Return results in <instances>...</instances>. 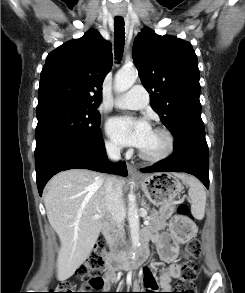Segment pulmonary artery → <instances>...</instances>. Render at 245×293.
<instances>
[{
  "label": "pulmonary artery",
  "instance_id": "pulmonary-artery-1",
  "mask_svg": "<svg viewBox=\"0 0 245 293\" xmlns=\"http://www.w3.org/2000/svg\"><path fill=\"white\" fill-rule=\"evenodd\" d=\"M149 103L147 90L140 85L133 86L127 93L114 101V105L122 109H140Z\"/></svg>",
  "mask_w": 245,
  "mask_h": 293
}]
</instances>
